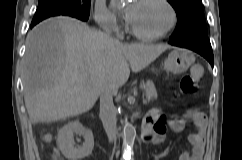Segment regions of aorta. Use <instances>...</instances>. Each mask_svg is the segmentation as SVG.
Wrapping results in <instances>:
<instances>
[{
	"mask_svg": "<svg viewBox=\"0 0 242 160\" xmlns=\"http://www.w3.org/2000/svg\"><path fill=\"white\" fill-rule=\"evenodd\" d=\"M124 138H123V159L130 160L134 140L136 137V130L132 124L126 122L123 128Z\"/></svg>",
	"mask_w": 242,
	"mask_h": 160,
	"instance_id": "obj_1",
	"label": "aorta"
}]
</instances>
